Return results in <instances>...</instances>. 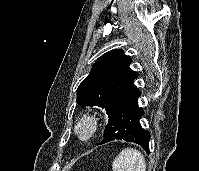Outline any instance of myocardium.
Returning <instances> with one entry per match:
<instances>
[{"instance_id": "1", "label": "myocardium", "mask_w": 199, "mask_h": 171, "mask_svg": "<svg viewBox=\"0 0 199 171\" xmlns=\"http://www.w3.org/2000/svg\"><path fill=\"white\" fill-rule=\"evenodd\" d=\"M99 130V119L92 113L80 115L74 122L73 132L81 142L91 141Z\"/></svg>"}]
</instances>
